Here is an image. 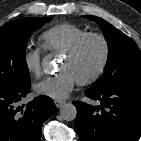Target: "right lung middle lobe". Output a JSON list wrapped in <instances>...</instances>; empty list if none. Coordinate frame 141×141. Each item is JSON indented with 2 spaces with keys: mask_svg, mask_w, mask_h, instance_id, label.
Returning <instances> with one entry per match:
<instances>
[{
  "mask_svg": "<svg viewBox=\"0 0 141 141\" xmlns=\"http://www.w3.org/2000/svg\"><path fill=\"white\" fill-rule=\"evenodd\" d=\"M51 20L48 17H28L0 28V89H13L30 83L25 48L34 31Z\"/></svg>",
  "mask_w": 141,
  "mask_h": 141,
  "instance_id": "dd1d6c3e",
  "label": "right lung middle lobe"
}]
</instances>
